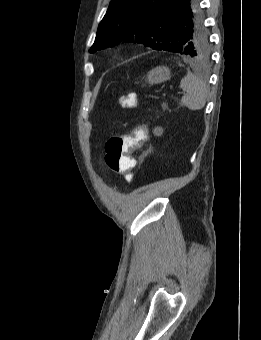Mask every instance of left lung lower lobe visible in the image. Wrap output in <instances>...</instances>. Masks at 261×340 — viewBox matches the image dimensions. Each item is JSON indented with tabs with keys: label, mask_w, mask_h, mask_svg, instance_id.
Wrapping results in <instances>:
<instances>
[{
	"label": "left lung lower lobe",
	"mask_w": 261,
	"mask_h": 340,
	"mask_svg": "<svg viewBox=\"0 0 261 340\" xmlns=\"http://www.w3.org/2000/svg\"><path fill=\"white\" fill-rule=\"evenodd\" d=\"M199 5V0H165L161 6L164 16L175 20L183 14L190 17Z\"/></svg>",
	"instance_id": "obj_1"
}]
</instances>
